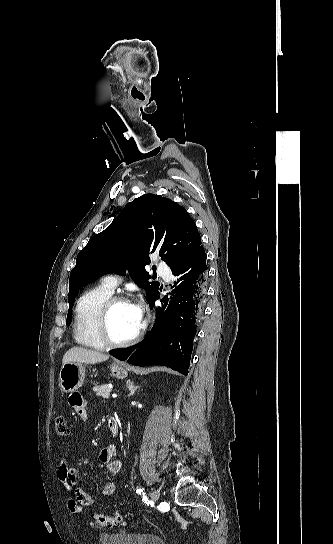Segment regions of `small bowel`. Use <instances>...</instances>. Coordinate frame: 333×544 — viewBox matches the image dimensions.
I'll list each match as a JSON object with an SVG mask.
<instances>
[{
    "mask_svg": "<svg viewBox=\"0 0 333 544\" xmlns=\"http://www.w3.org/2000/svg\"><path fill=\"white\" fill-rule=\"evenodd\" d=\"M68 402L81 420H86L88 418L87 403L80 393H72L69 396ZM108 428L112 437L118 436L119 423L116 419L110 418L108 420ZM117 455L118 448L115 444L104 447L99 453L100 462L112 474L119 473L123 467V463L120 460L115 459ZM57 476L69 494L68 509L72 514L81 515L86 508L91 507L94 504L93 497L78 487V473L76 469L69 467L65 460H62L59 463ZM115 489L116 486L113 482L106 483L102 488V495L111 496L115 493Z\"/></svg>",
    "mask_w": 333,
    "mask_h": 544,
    "instance_id": "small-bowel-1",
    "label": "small bowel"
}]
</instances>
